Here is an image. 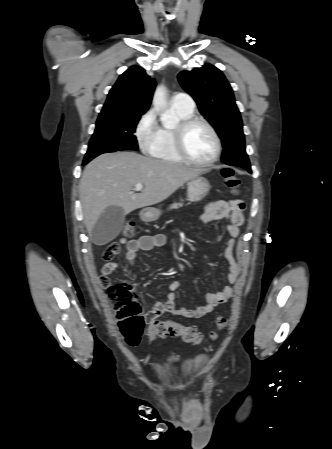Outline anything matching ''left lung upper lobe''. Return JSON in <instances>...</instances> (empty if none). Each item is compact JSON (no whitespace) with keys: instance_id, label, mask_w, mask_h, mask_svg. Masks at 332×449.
Listing matches in <instances>:
<instances>
[{"instance_id":"5c2ea615","label":"left lung upper lobe","mask_w":332,"mask_h":449,"mask_svg":"<svg viewBox=\"0 0 332 449\" xmlns=\"http://www.w3.org/2000/svg\"><path fill=\"white\" fill-rule=\"evenodd\" d=\"M178 79L221 138L224 148L222 162L251 172L240 112L233 90L222 71L205 64L192 71L180 72Z\"/></svg>"}]
</instances>
